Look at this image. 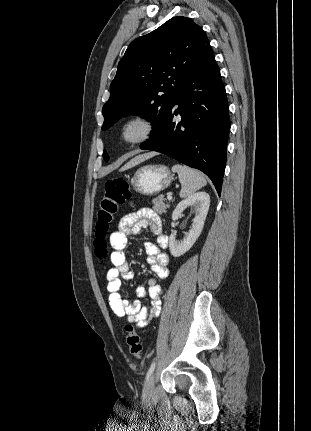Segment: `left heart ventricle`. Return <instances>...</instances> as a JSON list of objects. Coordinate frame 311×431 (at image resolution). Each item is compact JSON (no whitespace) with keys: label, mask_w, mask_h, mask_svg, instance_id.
Listing matches in <instances>:
<instances>
[{"label":"left heart ventricle","mask_w":311,"mask_h":431,"mask_svg":"<svg viewBox=\"0 0 311 431\" xmlns=\"http://www.w3.org/2000/svg\"><path fill=\"white\" fill-rule=\"evenodd\" d=\"M145 132V126L140 121H131L126 123L122 128V135L127 139H133L141 136Z\"/></svg>","instance_id":"obj_1"}]
</instances>
